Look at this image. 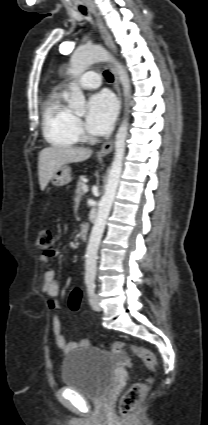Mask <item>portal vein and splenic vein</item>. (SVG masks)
Returning <instances> with one entry per match:
<instances>
[{"mask_svg":"<svg viewBox=\"0 0 208 425\" xmlns=\"http://www.w3.org/2000/svg\"><path fill=\"white\" fill-rule=\"evenodd\" d=\"M83 191H84V193L88 192V186H86V185H85V186L83 187Z\"/></svg>","mask_w":208,"mask_h":425,"instance_id":"obj_1","label":"portal vein and splenic vein"}]
</instances>
